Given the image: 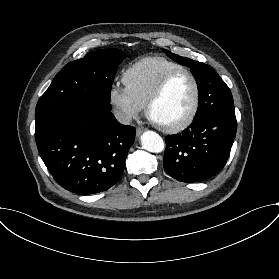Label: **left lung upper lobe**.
Instances as JSON below:
<instances>
[{
	"label": "left lung upper lobe",
	"instance_id": "5c2ea615",
	"mask_svg": "<svg viewBox=\"0 0 279 279\" xmlns=\"http://www.w3.org/2000/svg\"><path fill=\"white\" fill-rule=\"evenodd\" d=\"M164 52L174 61L190 67L198 85L199 106L194 119L205 114H222L235 116L234 102L231 91L220 76L207 64Z\"/></svg>",
	"mask_w": 279,
	"mask_h": 279
}]
</instances>
